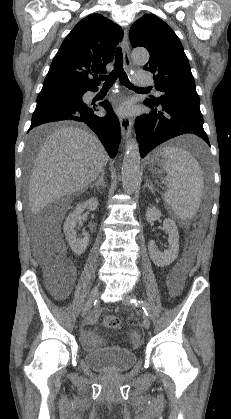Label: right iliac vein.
Segmentation results:
<instances>
[{"label":"right iliac vein","instance_id":"1","mask_svg":"<svg viewBox=\"0 0 231 419\" xmlns=\"http://www.w3.org/2000/svg\"><path fill=\"white\" fill-rule=\"evenodd\" d=\"M99 294V287L96 286L92 289L90 295H89V299L86 302L85 306L82 309L81 315L82 317L86 316V314L89 312L90 308L92 307L94 301L97 299Z\"/></svg>","mask_w":231,"mask_h":419}]
</instances>
